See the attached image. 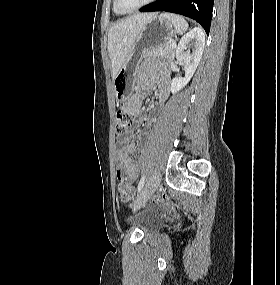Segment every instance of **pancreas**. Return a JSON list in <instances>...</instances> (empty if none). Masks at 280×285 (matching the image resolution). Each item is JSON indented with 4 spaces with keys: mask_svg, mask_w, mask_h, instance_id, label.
I'll list each match as a JSON object with an SVG mask.
<instances>
[{
    "mask_svg": "<svg viewBox=\"0 0 280 285\" xmlns=\"http://www.w3.org/2000/svg\"><path fill=\"white\" fill-rule=\"evenodd\" d=\"M172 41H167L157 47H152L144 53V57L157 56L171 61L174 57V49L171 47Z\"/></svg>",
    "mask_w": 280,
    "mask_h": 285,
    "instance_id": "obj_1",
    "label": "pancreas"
}]
</instances>
